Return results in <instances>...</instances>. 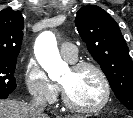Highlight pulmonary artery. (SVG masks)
I'll return each mask as SVG.
<instances>
[{
  "label": "pulmonary artery",
  "instance_id": "pulmonary-artery-1",
  "mask_svg": "<svg viewBox=\"0 0 133 118\" xmlns=\"http://www.w3.org/2000/svg\"><path fill=\"white\" fill-rule=\"evenodd\" d=\"M62 56L68 61H74L77 57V48L72 43H63L60 46Z\"/></svg>",
  "mask_w": 133,
  "mask_h": 118
}]
</instances>
